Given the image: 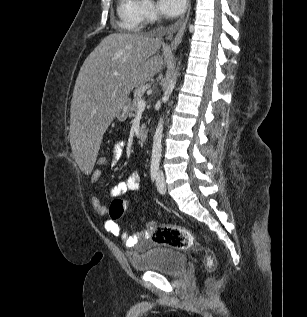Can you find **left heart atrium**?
I'll return each mask as SVG.
<instances>
[{
	"instance_id": "1",
	"label": "left heart atrium",
	"mask_w": 307,
	"mask_h": 317,
	"mask_svg": "<svg viewBox=\"0 0 307 317\" xmlns=\"http://www.w3.org/2000/svg\"><path fill=\"white\" fill-rule=\"evenodd\" d=\"M157 5L163 15L176 17L184 11L186 0H158Z\"/></svg>"
}]
</instances>
